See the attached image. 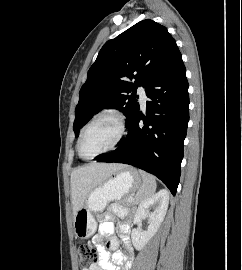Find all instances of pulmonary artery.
Listing matches in <instances>:
<instances>
[{"mask_svg": "<svg viewBox=\"0 0 242 270\" xmlns=\"http://www.w3.org/2000/svg\"><path fill=\"white\" fill-rule=\"evenodd\" d=\"M139 97H140V104L141 106L144 108L146 105V101H147V96H146V92H145V88L140 86L137 90Z\"/></svg>", "mask_w": 242, "mask_h": 270, "instance_id": "e3ab8cb5", "label": "pulmonary artery"}]
</instances>
